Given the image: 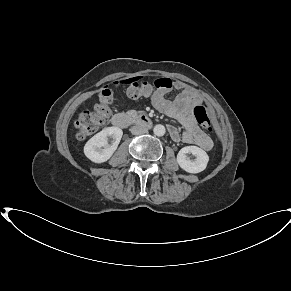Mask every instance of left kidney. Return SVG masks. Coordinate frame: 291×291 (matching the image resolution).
I'll return each instance as SVG.
<instances>
[{"label": "left kidney", "instance_id": "left-kidney-1", "mask_svg": "<svg viewBox=\"0 0 291 291\" xmlns=\"http://www.w3.org/2000/svg\"><path fill=\"white\" fill-rule=\"evenodd\" d=\"M188 154H192L191 159ZM209 161L207 153L197 146L183 147L177 155V163L188 173H199L205 170Z\"/></svg>", "mask_w": 291, "mask_h": 291}]
</instances>
